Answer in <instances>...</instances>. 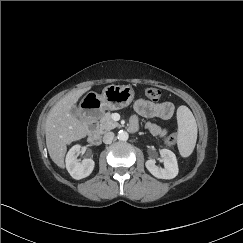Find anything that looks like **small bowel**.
Masks as SVG:
<instances>
[{"label": "small bowel", "instance_id": "small-bowel-1", "mask_svg": "<svg viewBox=\"0 0 243 243\" xmlns=\"http://www.w3.org/2000/svg\"><path fill=\"white\" fill-rule=\"evenodd\" d=\"M135 111L139 116L144 118H160L163 120H168L174 115V105L167 101L155 103L144 99H139L135 102ZM136 125L137 119L134 116L131 119V127L135 128ZM147 128L155 136L163 137L165 135V130L156 123H148Z\"/></svg>", "mask_w": 243, "mask_h": 243}]
</instances>
